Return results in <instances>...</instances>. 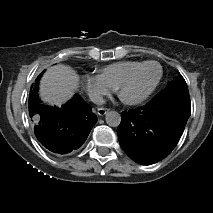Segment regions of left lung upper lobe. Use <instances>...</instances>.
Returning <instances> with one entry per match:
<instances>
[{
    "label": "left lung upper lobe",
    "instance_id": "obj_1",
    "mask_svg": "<svg viewBox=\"0 0 213 213\" xmlns=\"http://www.w3.org/2000/svg\"><path fill=\"white\" fill-rule=\"evenodd\" d=\"M167 87H178L182 89H188L187 84L181 74L174 80L168 82Z\"/></svg>",
    "mask_w": 213,
    "mask_h": 213
}]
</instances>
